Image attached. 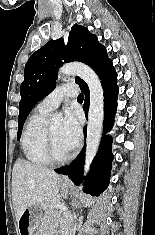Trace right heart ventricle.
<instances>
[{"label": "right heart ventricle", "mask_w": 155, "mask_h": 235, "mask_svg": "<svg viewBox=\"0 0 155 235\" xmlns=\"http://www.w3.org/2000/svg\"><path fill=\"white\" fill-rule=\"evenodd\" d=\"M48 112L37 108L27 119L21 146L25 158L35 165H46L50 161L45 152L46 116Z\"/></svg>", "instance_id": "obj_1"}]
</instances>
